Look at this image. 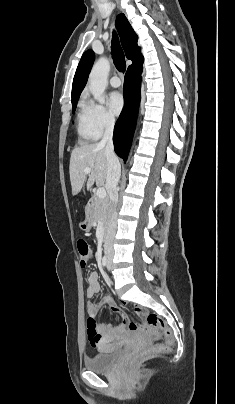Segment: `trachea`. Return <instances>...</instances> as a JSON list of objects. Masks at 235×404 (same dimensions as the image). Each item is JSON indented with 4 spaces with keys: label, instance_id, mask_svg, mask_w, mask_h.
Returning <instances> with one entry per match:
<instances>
[{
    "label": "trachea",
    "instance_id": "1",
    "mask_svg": "<svg viewBox=\"0 0 235 404\" xmlns=\"http://www.w3.org/2000/svg\"><path fill=\"white\" fill-rule=\"evenodd\" d=\"M111 54L116 69L123 73L126 70L125 56L115 33L112 38Z\"/></svg>",
    "mask_w": 235,
    "mask_h": 404
}]
</instances>
